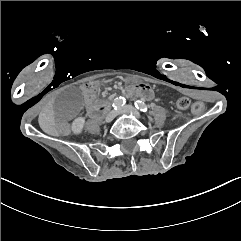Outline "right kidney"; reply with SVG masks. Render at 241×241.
Wrapping results in <instances>:
<instances>
[{
    "label": "right kidney",
    "mask_w": 241,
    "mask_h": 241,
    "mask_svg": "<svg viewBox=\"0 0 241 241\" xmlns=\"http://www.w3.org/2000/svg\"><path fill=\"white\" fill-rule=\"evenodd\" d=\"M85 123V119L83 117L76 118L71 126V129L74 134H80L82 132L83 126Z\"/></svg>",
    "instance_id": "ca27d5eb"
}]
</instances>
